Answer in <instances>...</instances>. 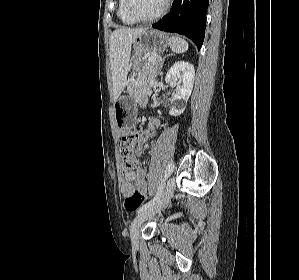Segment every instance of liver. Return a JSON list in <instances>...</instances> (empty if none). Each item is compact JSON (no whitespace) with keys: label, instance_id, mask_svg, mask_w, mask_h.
Returning a JSON list of instances; mask_svg holds the SVG:
<instances>
[{"label":"liver","instance_id":"1","mask_svg":"<svg viewBox=\"0 0 299 280\" xmlns=\"http://www.w3.org/2000/svg\"><path fill=\"white\" fill-rule=\"evenodd\" d=\"M145 31H147L146 28H119L111 34L109 58L112 70L114 102L120 97L127 82L131 45Z\"/></svg>","mask_w":299,"mask_h":280}]
</instances>
